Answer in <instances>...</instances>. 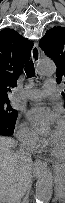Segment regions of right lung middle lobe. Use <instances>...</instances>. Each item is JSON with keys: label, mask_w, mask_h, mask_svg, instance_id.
<instances>
[{"label": "right lung middle lobe", "mask_w": 65, "mask_h": 203, "mask_svg": "<svg viewBox=\"0 0 65 203\" xmlns=\"http://www.w3.org/2000/svg\"><path fill=\"white\" fill-rule=\"evenodd\" d=\"M17 111L9 104V99H0V124L8 127L15 125Z\"/></svg>", "instance_id": "dd1d6c3e"}]
</instances>
